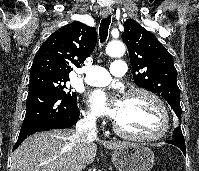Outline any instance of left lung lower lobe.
Wrapping results in <instances>:
<instances>
[{"label": "left lung lower lobe", "mask_w": 199, "mask_h": 171, "mask_svg": "<svg viewBox=\"0 0 199 171\" xmlns=\"http://www.w3.org/2000/svg\"><path fill=\"white\" fill-rule=\"evenodd\" d=\"M166 142L179 147L184 154L186 153V147H185L184 138L182 136V131H181V129L179 127H177L174 130L173 139L172 140H168Z\"/></svg>", "instance_id": "obj_1"}]
</instances>
